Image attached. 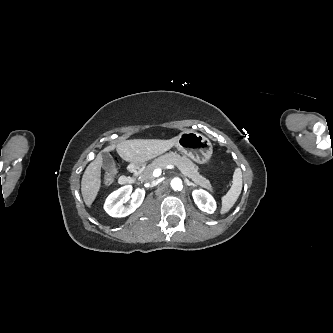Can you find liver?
Masks as SVG:
<instances>
[{
  "label": "liver",
  "mask_w": 333,
  "mask_h": 333,
  "mask_svg": "<svg viewBox=\"0 0 333 333\" xmlns=\"http://www.w3.org/2000/svg\"><path fill=\"white\" fill-rule=\"evenodd\" d=\"M177 137L169 140L134 139L109 145L104 151L116 149L118 155L133 164H143L165 153L176 145ZM102 156L98 155L86 168L81 180V192L85 204L90 207L101 188Z\"/></svg>",
  "instance_id": "6515ba94"
}]
</instances>
